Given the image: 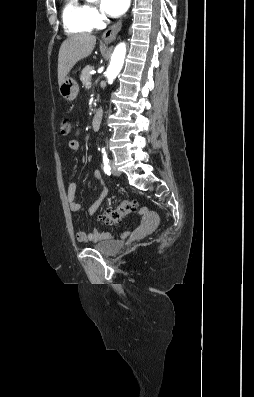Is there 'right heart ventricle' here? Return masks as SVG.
Returning <instances> with one entry per match:
<instances>
[{
    "label": "right heart ventricle",
    "instance_id": "e07e8e85",
    "mask_svg": "<svg viewBox=\"0 0 254 397\" xmlns=\"http://www.w3.org/2000/svg\"><path fill=\"white\" fill-rule=\"evenodd\" d=\"M88 8L89 6L80 0H64L62 20L66 33L85 34L93 30Z\"/></svg>",
    "mask_w": 254,
    "mask_h": 397
}]
</instances>
